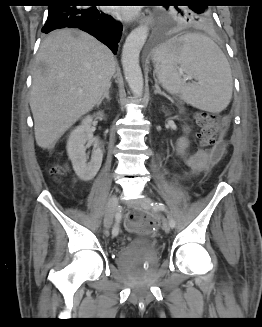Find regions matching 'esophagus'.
Returning a JSON list of instances; mask_svg holds the SVG:
<instances>
[{
	"label": "esophagus",
	"instance_id": "34e87169",
	"mask_svg": "<svg viewBox=\"0 0 262 327\" xmlns=\"http://www.w3.org/2000/svg\"><path fill=\"white\" fill-rule=\"evenodd\" d=\"M137 22L140 24H145V25L152 27L154 25V17H153L152 12L150 10L146 9L139 16V18L137 19Z\"/></svg>",
	"mask_w": 262,
	"mask_h": 327
}]
</instances>
